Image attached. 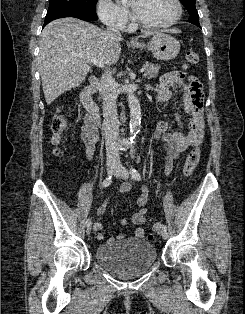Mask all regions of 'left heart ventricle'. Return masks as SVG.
<instances>
[{
  "mask_svg": "<svg viewBox=\"0 0 245 314\" xmlns=\"http://www.w3.org/2000/svg\"><path fill=\"white\" fill-rule=\"evenodd\" d=\"M131 5L141 20L150 23L167 22L176 15L173 0H133Z\"/></svg>",
  "mask_w": 245,
  "mask_h": 314,
  "instance_id": "b2bd125f",
  "label": "left heart ventricle"
}]
</instances>
